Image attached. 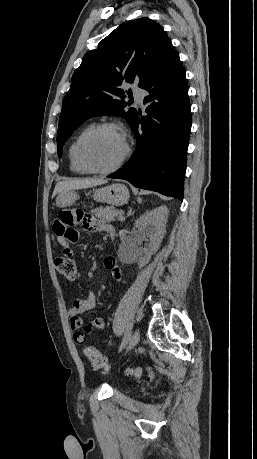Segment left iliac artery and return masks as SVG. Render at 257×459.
<instances>
[{
    "instance_id": "44dca946",
    "label": "left iliac artery",
    "mask_w": 257,
    "mask_h": 459,
    "mask_svg": "<svg viewBox=\"0 0 257 459\" xmlns=\"http://www.w3.org/2000/svg\"><path fill=\"white\" fill-rule=\"evenodd\" d=\"M129 338H130V335H129V334H127V335L123 338V340H122V342H121V345H120V347H119V351H121L122 348L127 344Z\"/></svg>"
}]
</instances>
